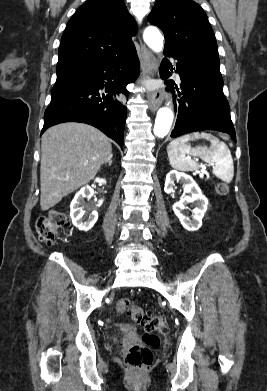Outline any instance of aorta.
<instances>
[{
    "label": "aorta",
    "mask_w": 267,
    "mask_h": 391,
    "mask_svg": "<svg viewBox=\"0 0 267 391\" xmlns=\"http://www.w3.org/2000/svg\"><path fill=\"white\" fill-rule=\"evenodd\" d=\"M143 38L148 47H150L154 52L159 53L163 50L164 38L156 27L146 28ZM169 104L170 103L158 110L155 119L154 134L160 138H163L169 133L173 122L174 115L172 109L169 107Z\"/></svg>",
    "instance_id": "1"
}]
</instances>
